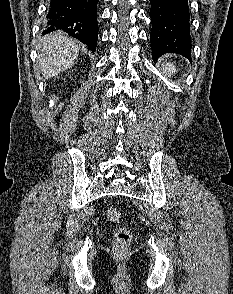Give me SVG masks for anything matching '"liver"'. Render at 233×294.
I'll use <instances>...</instances> for the list:
<instances>
[{"mask_svg": "<svg viewBox=\"0 0 233 294\" xmlns=\"http://www.w3.org/2000/svg\"><path fill=\"white\" fill-rule=\"evenodd\" d=\"M37 51V63L46 79L70 68L79 55V48L73 40L56 33L41 39Z\"/></svg>", "mask_w": 233, "mask_h": 294, "instance_id": "6515ba94", "label": "liver"}]
</instances>
